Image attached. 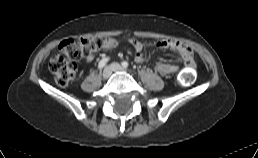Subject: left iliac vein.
<instances>
[{
	"label": "left iliac vein",
	"mask_w": 258,
	"mask_h": 158,
	"mask_svg": "<svg viewBox=\"0 0 258 158\" xmlns=\"http://www.w3.org/2000/svg\"><path fill=\"white\" fill-rule=\"evenodd\" d=\"M110 67L115 72H117V71H125V69L120 64H118V63H112Z\"/></svg>",
	"instance_id": "left-iliac-vein-1"
}]
</instances>
